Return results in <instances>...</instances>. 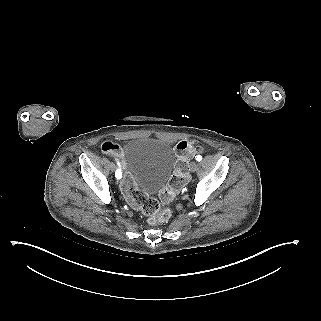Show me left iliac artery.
I'll return each instance as SVG.
<instances>
[{
	"instance_id": "left-iliac-artery-1",
	"label": "left iliac artery",
	"mask_w": 321,
	"mask_h": 321,
	"mask_svg": "<svg viewBox=\"0 0 321 321\" xmlns=\"http://www.w3.org/2000/svg\"><path fill=\"white\" fill-rule=\"evenodd\" d=\"M196 160L200 162L202 160V156L200 155L196 156Z\"/></svg>"
}]
</instances>
